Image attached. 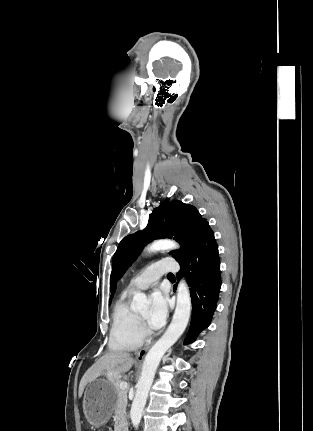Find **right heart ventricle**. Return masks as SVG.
Returning <instances> with one entry per match:
<instances>
[{"mask_svg":"<svg viewBox=\"0 0 313 431\" xmlns=\"http://www.w3.org/2000/svg\"><path fill=\"white\" fill-rule=\"evenodd\" d=\"M143 333L137 313L131 308L128 297L120 298L113 310V323L109 346L113 350L131 351L143 342Z\"/></svg>","mask_w":313,"mask_h":431,"instance_id":"e07e8e85","label":"right heart ventricle"}]
</instances>
